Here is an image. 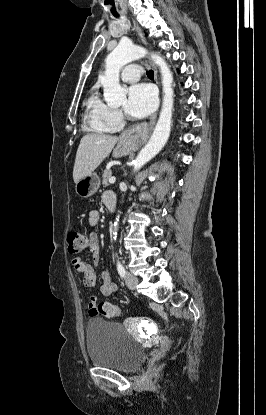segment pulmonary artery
I'll return each mask as SVG.
<instances>
[{"label":"pulmonary artery","mask_w":266,"mask_h":415,"mask_svg":"<svg viewBox=\"0 0 266 415\" xmlns=\"http://www.w3.org/2000/svg\"><path fill=\"white\" fill-rule=\"evenodd\" d=\"M141 74V67L137 64H131L126 66L122 73L121 78L125 82H134L137 81Z\"/></svg>","instance_id":"obj_1"}]
</instances>
